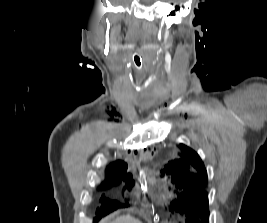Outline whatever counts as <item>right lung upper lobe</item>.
<instances>
[{
    "instance_id": "obj_1",
    "label": "right lung upper lobe",
    "mask_w": 267,
    "mask_h": 223,
    "mask_svg": "<svg viewBox=\"0 0 267 223\" xmlns=\"http://www.w3.org/2000/svg\"><path fill=\"white\" fill-rule=\"evenodd\" d=\"M127 165L122 161H116L115 163L111 164L107 170V179L110 178H118V179H124V177L129 178L130 175L126 174Z\"/></svg>"
}]
</instances>
